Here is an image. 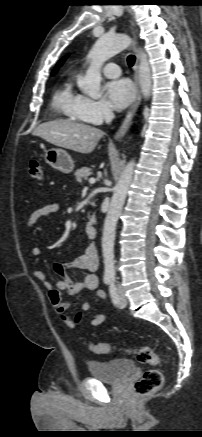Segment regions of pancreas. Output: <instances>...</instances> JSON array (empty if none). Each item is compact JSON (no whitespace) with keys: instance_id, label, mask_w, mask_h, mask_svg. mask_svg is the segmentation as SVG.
<instances>
[{"instance_id":"obj_1","label":"pancreas","mask_w":202,"mask_h":437,"mask_svg":"<svg viewBox=\"0 0 202 437\" xmlns=\"http://www.w3.org/2000/svg\"><path fill=\"white\" fill-rule=\"evenodd\" d=\"M92 174V169L88 167H83L75 172V178L77 182H82L83 180H87V178Z\"/></svg>"}]
</instances>
